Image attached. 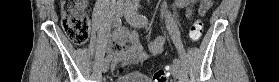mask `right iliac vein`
<instances>
[{
	"mask_svg": "<svg viewBox=\"0 0 279 82\" xmlns=\"http://www.w3.org/2000/svg\"><path fill=\"white\" fill-rule=\"evenodd\" d=\"M125 12V9L123 6H117L115 8V14L117 17H121ZM109 69V61L105 60L102 64V71L105 73Z\"/></svg>",
	"mask_w": 279,
	"mask_h": 82,
	"instance_id": "63e3f726",
	"label": "right iliac vein"
}]
</instances>
